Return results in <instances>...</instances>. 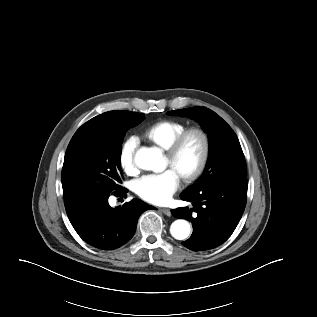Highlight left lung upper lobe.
<instances>
[{"instance_id": "5c2ea615", "label": "left lung upper lobe", "mask_w": 317, "mask_h": 317, "mask_svg": "<svg viewBox=\"0 0 317 317\" xmlns=\"http://www.w3.org/2000/svg\"><path fill=\"white\" fill-rule=\"evenodd\" d=\"M168 114L197 120L209 137L210 151L206 168L198 181L186 189V192L199 191L221 181L247 178L245 158L239 140L220 116L205 107L174 110Z\"/></svg>"}]
</instances>
